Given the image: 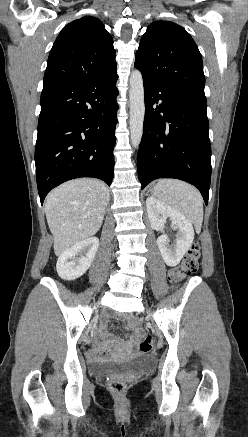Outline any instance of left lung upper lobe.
<instances>
[{
	"label": "left lung upper lobe",
	"instance_id": "1",
	"mask_svg": "<svg viewBox=\"0 0 248 437\" xmlns=\"http://www.w3.org/2000/svg\"><path fill=\"white\" fill-rule=\"evenodd\" d=\"M134 66L143 78L172 90L205 97L201 54L190 34L176 23L155 21L148 26Z\"/></svg>",
	"mask_w": 248,
	"mask_h": 437
}]
</instances>
